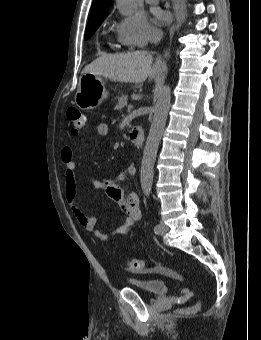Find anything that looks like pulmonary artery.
Segmentation results:
<instances>
[{
    "mask_svg": "<svg viewBox=\"0 0 261 340\" xmlns=\"http://www.w3.org/2000/svg\"><path fill=\"white\" fill-rule=\"evenodd\" d=\"M146 2L150 4H155L158 2V0H146Z\"/></svg>",
    "mask_w": 261,
    "mask_h": 340,
    "instance_id": "obj_1",
    "label": "pulmonary artery"
}]
</instances>
